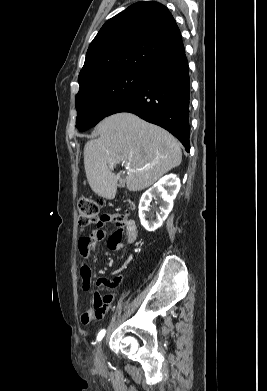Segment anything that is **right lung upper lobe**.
Wrapping results in <instances>:
<instances>
[{"label":"right lung upper lobe","instance_id":"1","mask_svg":"<svg viewBox=\"0 0 267 391\" xmlns=\"http://www.w3.org/2000/svg\"><path fill=\"white\" fill-rule=\"evenodd\" d=\"M185 52L180 30L169 10L153 1L135 3L109 19L91 42L78 82L106 73H147Z\"/></svg>","mask_w":267,"mask_h":391}]
</instances>
